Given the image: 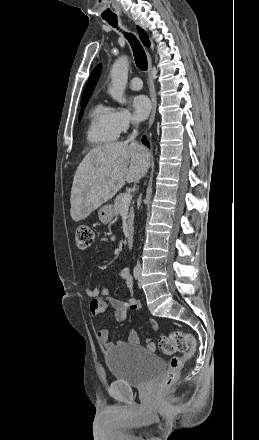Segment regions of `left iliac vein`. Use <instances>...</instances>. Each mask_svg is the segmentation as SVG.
Listing matches in <instances>:
<instances>
[{
	"label": "left iliac vein",
	"instance_id": "left-iliac-vein-1",
	"mask_svg": "<svg viewBox=\"0 0 259 440\" xmlns=\"http://www.w3.org/2000/svg\"><path fill=\"white\" fill-rule=\"evenodd\" d=\"M138 286H142V278H141V268H139V280H138Z\"/></svg>",
	"mask_w": 259,
	"mask_h": 440
}]
</instances>
